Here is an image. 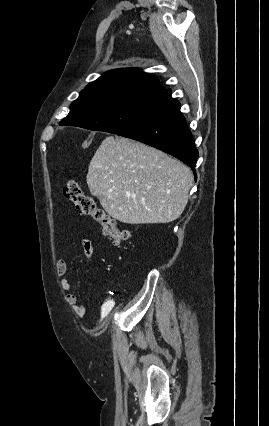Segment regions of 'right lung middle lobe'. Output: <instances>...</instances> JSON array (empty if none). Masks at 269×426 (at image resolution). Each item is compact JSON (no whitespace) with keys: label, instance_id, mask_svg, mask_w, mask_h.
<instances>
[{"label":"right lung middle lobe","instance_id":"1","mask_svg":"<svg viewBox=\"0 0 269 426\" xmlns=\"http://www.w3.org/2000/svg\"><path fill=\"white\" fill-rule=\"evenodd\" d=\"M163 93L145 91L98 92L81 95L59 124L119 133L143 119Z\"/></svg>","mask_w":269,"mask_h":426}]
</instances>
